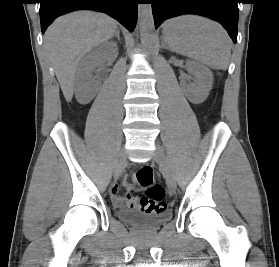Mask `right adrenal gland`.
Wrapping results in <instances>:
<instances>
[{"label": "right adrenal gland", "mask_w": 279, "mask_h": 267, "mask_svg": "<svg viewBox=\"0 0 279 267\" xmlns=\"http://www.w3.org/2000/svg\"><path fill=\"white\" fill-rule=\"evenodd\" d=\"M113 37H116L119 41H121L119 29H117V30L115 31V34L113 35Z\"/></svg>", "instance_id": "obj_1"}]
</instances>
